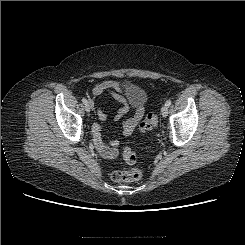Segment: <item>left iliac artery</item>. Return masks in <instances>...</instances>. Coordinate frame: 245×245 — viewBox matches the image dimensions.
I'll return each mask as SVG.
<instances>
[{
  "label": "left iliac artery",
  "mask_w": 245,
  "mask_h": 245,
  "mask_svg": "<svg viewBox=\"0 0 245 245\" xmlns=\"http://www.w3.org/2000/svg\"><path fill=\"white\" fill-rule=\"evenodd\" d=\"M171 103H172V100L169 99V100L166 101L165 105H166L167 107H169V106L171 105Z\"/></svg>",
  "instance_id": "1"
}]
</instances>
